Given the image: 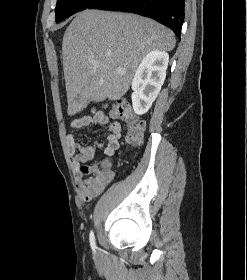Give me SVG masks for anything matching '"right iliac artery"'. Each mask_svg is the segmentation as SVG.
Returning <instances> with one entry per match:
<instances>
[{"mask_svg":"<svg viewBox=\"0 0 247 280\" xmlns=\"http://www.w3.org/2000/svg\"><path fill=\"white\" fill-rule=\"evenodd\" d=\"M89 240H90L91 248L95 252V250H96V243H95V237H94L93 231L90 232Z\"/></svg>","mask_w":247,"mask_h":280,"instance_id":"1","label":"right iliac artery"}]
</instances>
